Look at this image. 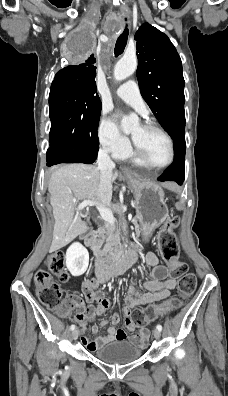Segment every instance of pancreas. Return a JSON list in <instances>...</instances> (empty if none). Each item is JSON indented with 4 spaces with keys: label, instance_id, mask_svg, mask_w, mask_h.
<instances>
[{
    "label": "pancreas",
    "instance_id": "cf45deb5",
    "mask_svg": "<svg viewBox=\"0 0 228 396\" xmlns=\"http://www.w3.org/2000/svg\"><path fill=\"white\" fill-rule=\"evenodd\" d=\"M131 223L134 226L135 229V234L138 237V234H141L140 231V226L137 223V217L133 216ZM116 237L115 234V228L112 224L107 222L105 226L100 230L99 232V239H98V245L99 248H101L100 253L103 255H107L108 253H111L113 249V241ZM137 239V238H136ZM139 239V238H138Z\"/></svg>",
    "mask_w": 228,
    "mask_h": 396
}]
</instances>
